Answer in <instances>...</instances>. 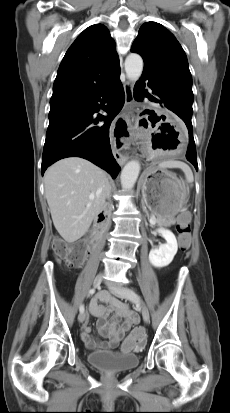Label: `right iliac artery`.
Wrapping results in <instances>:
<instances>
[{
	"instance_id": "82829eb1",
	"label": "right iliac artery",
	"mask_w": 230,
	"mask_h": 413,
	"mask_svg": "<svg viewBox=\"0 0 230 413\" xmlns=\"http://www.w3.org/2000/svg\"><path fill=\"white\" fill-rule=\"evenodd\" d=\"M88 293H89V295H93L95 293V289L94 288L90 289ZM79 310H80V312H84V306L81 305Z\"/></svg>"
}]
</instances>
